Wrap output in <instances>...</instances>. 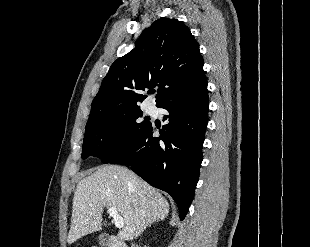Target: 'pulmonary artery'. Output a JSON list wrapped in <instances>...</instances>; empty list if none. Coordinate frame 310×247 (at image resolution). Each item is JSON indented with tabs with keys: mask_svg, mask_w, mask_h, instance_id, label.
<instances>
[{
	"mask_svg": "<svg viewBox=\"0 0 310 247\" xmlns=\"http://www.w3.org/2000/svg\"><path fill=\"white\" fill-rule=\"evenodd\" d=\"M147 112L150 114H155L156 113V108L153 105H149L147 107Z\"/></svg>",
	"mask_w": 310,
	"mask_h": 247,
	"instance_id": "1",
	"label": "pulmonary artery"
}]
</instances>
